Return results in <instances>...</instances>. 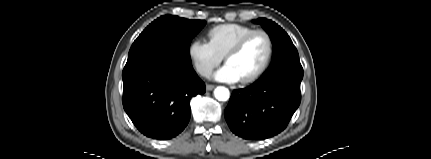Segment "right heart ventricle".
<instances>
[{
  "mask_svg": "<svg viewBox=\"0 0 431 159\" xmlns=\"http://www.w3.org/2000/svg\"><path fill=\"white\" fill-rule=\"evenodd\" d=\"M253 30L247 25L227 23L211 28L207 35L210 45L223 57L241 37Z\"/></svg>",
  "mask_w": 431,
  "mask_h": 159,
  "instance_id": "right-heart-ventricle-1",
  "label": "right heart ventricle"
}]
</instances>
